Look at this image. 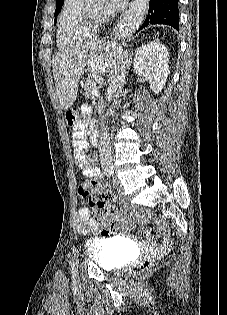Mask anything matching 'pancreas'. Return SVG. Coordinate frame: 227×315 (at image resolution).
<instances>
[{
	"instance_id": "obj_1",
	"label": "pancreas",
	"mask_w": 227,
	"mask_h": 315,
	"mask_svg": "<svg viewBox=\"0 0 227 315\" xmlns=\"http://www.w3.org/2000/svg\"><path fill=\"white\" fill-rule=\"evenodd\" d=\"M97 90L96 82L94 81L93 76H89L87 81L84 84V95L89 98L92 97V91Z\"/></svg>"
}]
</instances>
